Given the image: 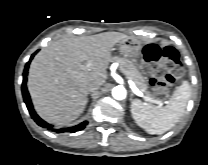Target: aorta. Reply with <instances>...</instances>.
I'll use <instances>...</instances> for the list:
<instances>
[{"label": "aorta", "mask_w": 208, "mask_h": 165, "mask_svg": "<svg viewBox=\"0 0 208 165\" xmlns=\"http://www.w3.org/2000/svg\"><path fill=\"white\" fill-rule=\"evenodd\" d=\"M112 96L116 100H123L126 97V89L123 86H116L112 90Z\"/></svg>", "instance_id": "1"}]
</instances>
